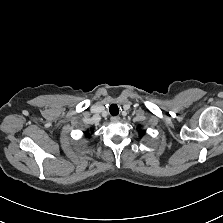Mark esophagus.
I'll list each match as a JSON object with an SVG mask.
<instances>
[{
    "instance_id": "34e87169",
    "label": "esophagus",
    "mask_w": 223,
    "mask_h": 223,
    "mask_svg": "<svg viewBox=\"0 0 223 223\" xmlns=\"http://www.w3.org/2000/svg\"><path fill=\"white\" fill-rule=\"evenodd\" d=\"M120 120V117L119 116H112L111 117V121H113V122H116V121H119Z\"/></svg>"
}]
</instances>
